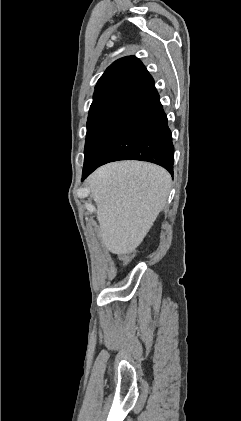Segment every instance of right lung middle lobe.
Returning <instances> with one entry per match:
<instances>
[{
  "label": "right lung middle lobe",
  "mask_w": 241,
  "mask_h": 421,
  "mask_svg": "<svg viewBox=\"0 0 241 421\" xmlns=\"http://www.w3.org/2000/svg\"><path fill=\"white\" fill-rule=\"evenodd\" d=\"M132 103H121L89 113L84 167H92L128 114Z\"/></svg>",
  "instance_id": "obj_1"
}]
</instances>
